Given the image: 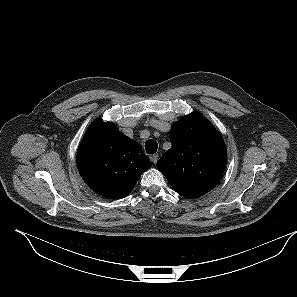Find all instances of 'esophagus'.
Listing matches in <instances>:
<instances>
[{
  "instance_id": "obj_1",
  "label": "esophagus",
  "mask_w": 297,
  "mask_h": 297,
  "mask_svg": "<svg viewBox=\"0 0 297 297\" xmlns=\"http://www.w3.org/2000/svg\"><path fill=\"white\" fill-rule=\"evenodd\" d=\"M158 159H159V155L158 154H154V155L151 156V161L153 163H156L158 161Z\"/></svg>"
}]
</instances>
